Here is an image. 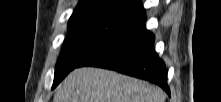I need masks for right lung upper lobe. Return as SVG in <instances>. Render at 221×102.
Wrapping results in <instances>:
<instances>
[{
	"instance_id": "1",
	"label": "right lung upper lobe",
	"mask_w": 221,
	"mask_h": 102,
	"mask_svg": "<svg viewBox=\"0 0 221 102\" xmlns=\"http://www.w3.org/2000/svg\"><path fill=\"white\" fill-rule=\"evenodd\" d=\"M93 3H110L120 7L136 9L141 11L142 13H145L143 6L140 4L138 0H80L76 9Z\"/></svg>"
}]
</instances>
